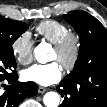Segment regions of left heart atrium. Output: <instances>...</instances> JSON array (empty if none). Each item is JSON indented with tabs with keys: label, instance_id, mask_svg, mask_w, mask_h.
<instances>
[{
	"label": "left heart atrium",
	"instance_id": "left-heart-atrium-1",
	"mask_svg": "<svg viewBox=\"0 0 107 107\" xmlns=\"http://www.w3.org/2000/svg\"><path fill=\"white\" fill-rule=\"evenodd\" d=\"M22 76L26 81L34 82L42 86H48L60 80L62 69L57 62L35 64L25 69Z\"/></svg>",
	"mask_w": 107,
	"mask_h": 107
}]
</instances>
